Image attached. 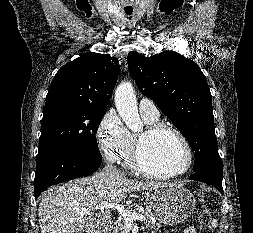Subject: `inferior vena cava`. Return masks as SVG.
<instances>
[{"label":"inferior vena cava","mask_w":253,"mask_h":233,"mask_svg":"<svg viewBox=\"0 0 253 233\" xmlns=\"http://www.w3.org/2000/svg\"><path fill=\"white\" fill-rule=\"evenodd\" d=\"M103 172L107 173V174H118L119 173L112 164H107L105 166V168L103 169Z\"/></svg>","instance_id":"inferior-vena-cava-1"}]
</instances>
